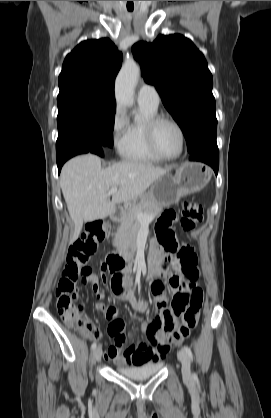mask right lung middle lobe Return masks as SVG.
Segmentation results:
<instances>
[{
    "label": "right lung middle lobe",
    "instance_id": "obj_1",
    "mask_svg": "<svg viewBox=\"0 0 271 418\" xmlns=\"http://www.w3.org/2000/svg\"><path fill=\"white\" fill-rule=\"evenodd\" d=\"M116 105L87 101L58 103L56 152L113 146Z\"/></svg>",
    "mask_w": 271,
    "mask_h": 418
}]
</instances>
